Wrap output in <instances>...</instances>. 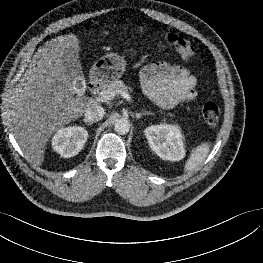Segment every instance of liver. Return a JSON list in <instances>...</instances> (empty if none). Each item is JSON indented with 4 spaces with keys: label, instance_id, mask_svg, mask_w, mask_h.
Wrapping results in <instances>:
<instances>
[{
    "label": "liver",
    "instance_id": "liver-1",
    "mask_svg": "<svg viewBox=\"0 0 263 263\" xmlns=\"http://www.w3.org/2000/svg\"><path fill=\"white\" fill-rule=\"evenodd\" d=\"M67 50L78 54L80 41L74 34L44 44L33 57L11 99L10 120L15 139L25 157L41 165L51 135L81 117L97 102L74 97L76 90L63 65Z\"/></svg>",
    "mask_w": 263,
    "mask_h": 263
}]
</instances>
